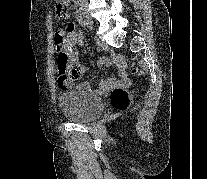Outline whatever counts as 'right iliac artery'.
<instances>
[{
    "instance_id": "1",
    "label": "right iliac artery",
    "mask_w": 207,
    "mask_h": 179,
    "mask_svg": "<svg viewBox=\"0 0 207 179\" xmlns=\"http://www.w3.org/2000/svg\"><path fill=\"white\" fill-rule=\"evenodd\" d=\"M76 18L81 26L85 27L87 25L85 16L80 10L76 11Z\"/></svg>"
}]
</instances>
